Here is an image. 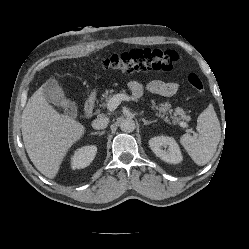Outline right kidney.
I'll return each instance as SVG.
<instances>
[{"label": "right kidney", "mask_w": 249, "mask_h": 249, "mask_svg": "<svg viewBox=\"0 0 249 249\" xmlns=\"http://www.w3.org/2000/svg\"><path fill=\"white\" fill-rule=\"evenodd\" d=\"M97 153V147L94 145L84 146L77 149L71 157L72 169H83L90 165Z\"/></svg>", "instance_id": "1"}]
</instances>
